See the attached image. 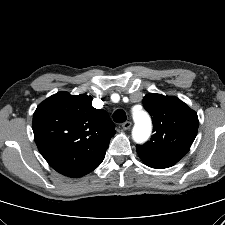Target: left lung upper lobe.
I'll return each instance as SVG.
<instances>
[{"instance_id":"left-lung-upper-lobe-1","label":"left lung upper lobe","mask_w":225,"mask_h":225,"mask_svg":"<svg viewBox=\"0 0 225 225\" xmlns=\"http://www.w3.org/2000/svg\"><path fill=\"white\" fill-rule=\"evenodd\" d=\"M153 120L154 134L137 153L149 167L163 169L176 164L190 149L198 130V116L180 99L150 93L143 99Z\"/></svg>"}]
</instances>
